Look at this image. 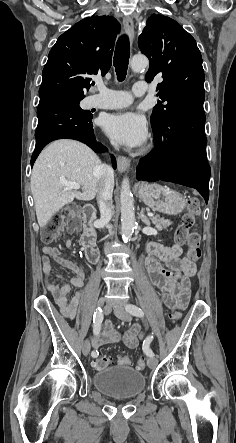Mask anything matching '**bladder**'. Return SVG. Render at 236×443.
<instances>
[{"label":"bladder","instance_id":"31cf9c89","mask_svg":"<svg viewBox=\"0 0 236 443\" xmlns=\"http://www.w3.org/2000/svg\"><path fill=\"white\" fill-rule=\"evenodd\" d=\"M92 381L99 392L115 399L134 398L145 388L144 374L127 366L99 369Z\"/></svg>","mask_w":236,"mask_h":443}]
</instances>
